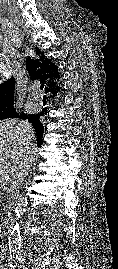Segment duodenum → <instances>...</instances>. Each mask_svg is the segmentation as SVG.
Wrapping results in <instances>:
<instances>
[{
    "instance_id": "410a0bca",
    "label": "duodenum",
    "mask_w": 118,
    "mask_h": 269,
    "mask_svg": "<svg viewBox=\"0 0 118 269\" xmlns=\"http://www.w3.org/2000/svg\"><path fill=\"white\" fill-rule=\"evenodd\" d=\"M2 226H3V230L5 232H8L11 229V227H12V219L10 217H6L2 221Z\"/></svg>"
}]
</instances>
